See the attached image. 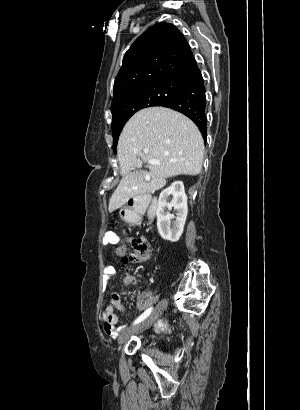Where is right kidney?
Returning a JSON list of instances; mask_svg holds the SVG:
<instances>
[{
    "mask_svg": "<svg viewBox=\"0 0 300 410\" xmlns=\"http://www.w3.org/2000/svg\"><path fill=\"white\" fill-rule=\"evenodd\" d=\"M170 197H172L171 202H168ZM172 208L176 210V217L169 213ZM167 209L169 211H166ZM187 213L184 184L182 181H175L160 193L158 199L156 216L160 236L170 242L178 241L183 233ZM174 218L175 220L172 221Z\"/></svg>",
    "mask_w": 300,
    "mask_h": 410,
    "instance_id": "1",
    "label": "right kidney"
}]
</instances>
